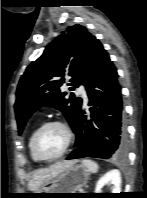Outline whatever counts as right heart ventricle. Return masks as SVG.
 <instances>
[{
  "label": "right heart ventricle",
  "instance_id": "1",
  "mask_svg": "<svg viewBox=\"0 0 147 198\" xmlns=\"http://www.w3.org/2000/svg\"><path fill=\"white\" fill-rule=\"evenodd\" d=\"M36 127L31 131L30 135H29V138H28V149H29V153H30V156L32 158L33 161L35 162H38L39 160L34 156L33 152H32V149H31V140H32V136L34 134V132L36 131Z\"/></svg>",
  "mask_w": 147,
  "mask_h": 198
}]
</instances>
